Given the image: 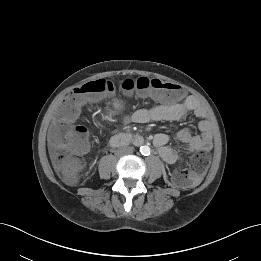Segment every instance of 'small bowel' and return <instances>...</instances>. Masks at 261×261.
I'll return each mask as SVG.
<instances>
[{
  "label": "small bowel",
  "mask_w": 261,
  "mask_h": 261,
  "mask_svg": "<svg viewBox=\"0 0 261 261\" xmlns=\"http://www.w3.org/2000/svg\"><path fill=\"white\" fill-rule=\"evenodd\" d=\"M188 113H193L199 118L198 127L200 134H193L188 129H181L177 132L176 138L189 151H208L212 147V131L209 121L205 118V109L194 96H188L182 102L170 105L157 104L148 108H141L131 116H124L122 122L148 123L151 121H179ZM168 136L158 133L154 136L153 142L156 145L159 155L169 164L181 160L178 150L168 145Z\"/></svg>",
  "instance_id": "small-bowel-1"
}]
</instances>
